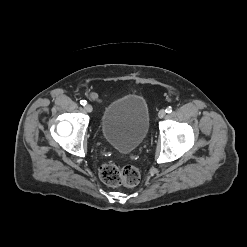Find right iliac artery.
I'll list each match as a JSON object with an SVG mask.
<instances>
[{
  "label": "right iliac artery",
  "mask_w": 247,
  "mask_h": 247,
  "mask_svg": "<svg viewBox=\"0 0 247 247\" xmlns=\"http://www.w3.org/2000/svg\"><path fill=\"white\" fill-rule=\"evenodd\" d=\"M80 104L83 105V106H85L87 104V102H86V100H81L80 101Z\"/></svg>",
  "instance_id": "right-iliac-artery-1"
}]
</instances>
